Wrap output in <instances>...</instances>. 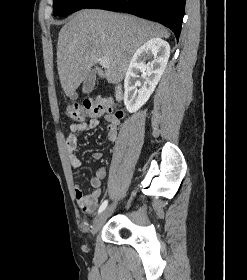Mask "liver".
Instances as JSON below:
<instances>
[{
  "label": "liver",
  "instance_id": "6515ba94",
  "mask_svg": "<svg viewBox=\"0 0 247 280\" xmlns=\"http://www.w3.org/2000/svg\"><path fill=\"white\" fill-rule=\"evenodd\" d=\"M161 25L126 14L83 9L61 28L57 44V68L61 86L68 97L86 79L102 57L109 64L97 69L109 83L121 82L135 51L152 38H169Z\"/></svg>",
  "mask_w": 247,
  "mask_h": 280
}]
</instances>
